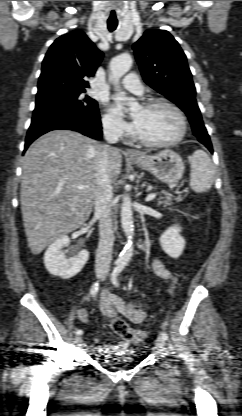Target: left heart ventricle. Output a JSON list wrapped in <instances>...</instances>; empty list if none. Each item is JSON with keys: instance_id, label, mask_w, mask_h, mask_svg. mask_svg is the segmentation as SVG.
I'll use <instances>...</instances> for the list:
<instances>
[{"instance_id": "left-heart-ventricle-1", "label": "left heart ventricle", "mask_w": 242, "mask_h": 416, "mask_svg": "<svg viewBox=\"0 0 242 416\" xmlns=\"http://www.w3.org/2000/svg\"><path fill=\"white\" fill-rule=\"evenodd\" d=\"M134 129L150 141H165L175 137L180 129L177 115L168 107L138 108L134 114Z\"/></svg>"}]
</instances>
